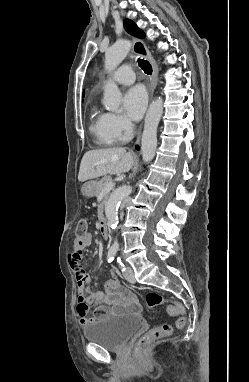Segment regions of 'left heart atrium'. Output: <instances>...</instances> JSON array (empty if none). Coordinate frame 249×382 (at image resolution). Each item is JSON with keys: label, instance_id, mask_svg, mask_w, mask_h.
I'll return each instance as SVG.
<instances>
[{"label": "left heart atrium", "instance_id": "39dd6f15", "mask_svg": "<svg viewBox=\"0 0 249 382\" xmlns=\"http://www.w3.org/2000/svg\"><path fill=\"white\" fill-rule=\"evenodd\" d=\"M147 100L146 91L141 86L129 89L123 99L126 116L131 120L138 121L145 112Z\"/></svg>", "mask_w": 249, "mask_h": 382}]
</instances>
